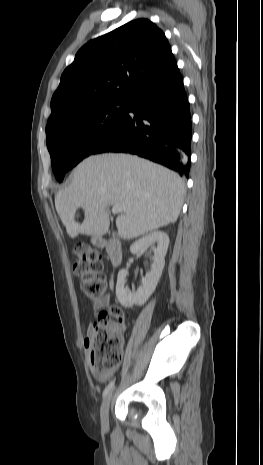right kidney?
<instances>
[{
    "label": "right kidney",
    "instance_id": "obj_1",
    "mask_svg": "<svg viewBox=\"0 0 263 465\" xmlns=\"http://www.w3.org/2000/svg\"><path fill=\"white\" fill-rule=\"evenodd\" d=\"M155 244H157L155 246ZM151 245L154 251L153 264L151 271L142 278V285L136 292H131L125 287V279L128 275L127 270H120L117 277L116 297L123 307L130 308L133 305H143L154 292L162 271L165 266V255L168 250L169 237L165 232L154 231L130 246V252L137 254L145 247Z\"/></svg>",
    "mask_w": 263,
    "mask_h": 465
}]
</instances>
